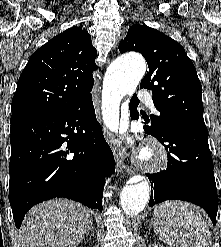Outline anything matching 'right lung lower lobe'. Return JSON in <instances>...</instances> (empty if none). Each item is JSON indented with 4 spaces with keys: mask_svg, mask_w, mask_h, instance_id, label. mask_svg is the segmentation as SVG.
I'll return each mask as SVG.
<instances>
[{
    "mask_svg": "<svg viewBox=\"0 0 221 247\" xmlns=\"http://www.w3.org/2000/svg\"><path fill=\"white\" fill-rule=\"evenodd\" d=\"M9 202L20 228L27 211L55 197L102 211L113 153L96 119L92 97L58 115L11 123Z\"/></svg>",
    "mask_w": 221,
    "mask_h": 247,
    "instance_id": "1",
    "label": "right lung lower lobe"
}]
</instances>
